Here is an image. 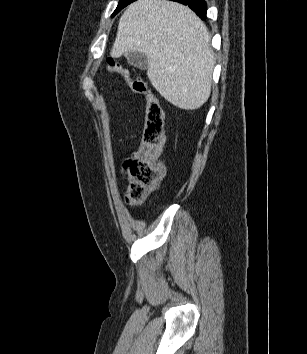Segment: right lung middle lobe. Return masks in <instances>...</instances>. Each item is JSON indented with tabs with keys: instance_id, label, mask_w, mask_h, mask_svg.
I'll return each instance as SVG.
<instances>
[{
	"instance_id": "right-lung-middle-lobe-1",
	"label": "right lung middle lobe",
	"mask_w": 307,
	"mask_h": 354,
	"mask_svg": "<svg viewBox=\"0 0 307 354\" xmlns=\"http://www.w3.org/2000/svg\"><path fill=\"white\" fill-rule=\"evenodd\" d=\"M133 1H135V0H120L118 3V6H117L116 10L114 11V13L112 14V16L116 15L121 9H123L128 4L132 3Z\"/></svg>"
}]
</instances>
